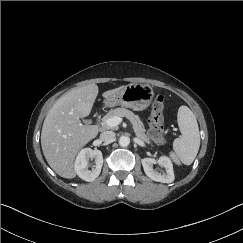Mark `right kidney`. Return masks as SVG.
I'll return each instance as SVG.
<instances>
[{
	"label": "right kidney",
	"instance_id": "obj_1",
	"mask_svg": "<svg viewBox=\"0 0 243 243\" xmlns=\"http://www.w3.org/2000/svg\"><path fill=\"white\" fill-rule=\"evenodd\" d=\"M90 159L95 160V166L92 170H88V163ZM103 156L100 150H93L91 148L82 149L75 161V171L77 175L85 181L95 180L102 169Z\"/></svg>",
	"mask_w": 243,
	"mask_h": 243
}]
</instances>
